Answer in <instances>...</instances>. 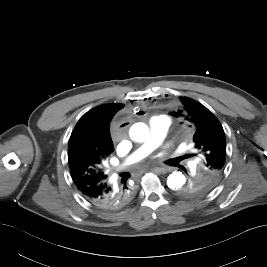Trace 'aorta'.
I'll use <instances>...</instances> for the list:
<instances>
[{
  "instance_id": "aorta-1",
  "label": "aorta",
  "mask_w": 267,
  "mask_h": 267,
  "mask_svg": "<svg viewBox=\"0 0 267 267\" xmlns=\"http://www.w3.org/2000/svg\"><path fill=\"white\" fill-rule=\"evenodd\" d=\"M130 136L137 142H145L149 137V129L145 123H135L130 128ZM186 182L180 171L172 172L167 178V185L172 190L180 189Z\"/></svg>"
}]
</instances>
